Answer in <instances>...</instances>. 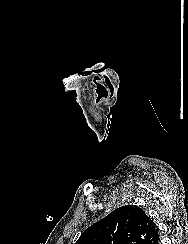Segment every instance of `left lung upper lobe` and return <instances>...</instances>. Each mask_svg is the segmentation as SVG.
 <instances>
[{
    "mask_svg": "<svg viewBox=\"0 0 188 244\" xmlns=\"http://www.w3.org/2000/svg\"><path fill=\"white\" fill-rule=\"evenodd\" d=\"M158 235L142 208L126 205L88 227L76 244H151Z\"/></svg>",
    "mask_w": 188,
    "mask_h": 244,
    "instance_id": "obj_1",
    "label": "left lung upper lobe"
}]
</instances>
